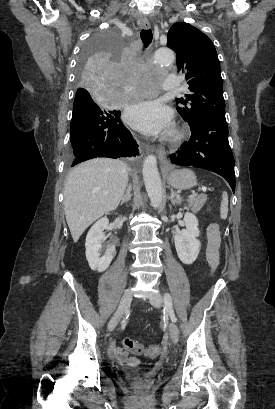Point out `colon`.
Here are the masks:
<instances>
[{"label": "colon", "mask_w": 275, "mask_h": 409, "mask_svg": "<svg viewBox=\"0 0 275 409\" xmlns=\"http://www.w3.org/2000/svg\"><path fill=\"white\" fill-rule=\"evenodd\" d=\"M125 345V348L129 349L130 352H136L137 357L146 356L149 358H157L161 347L159 342H149L146 346L147 348L142 347L144 344L136 340H127ZM134 383L139 386L142 384V381L135 380Z\"/></svg>", "instance_id": "obj_1"}]
</instances>
